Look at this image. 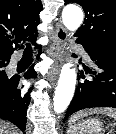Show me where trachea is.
<instances>
[{
    "label": "trachea",
    "mask_w": 116,
    "mask_h": 134,
    "mask_svg": "<svg viewBox=\"0 0 116 134\" xmlns=\"http://www.w3.org/2000/svg\"><path fill=\"white\" fill-rule=\"evenodd\" d=\"M32 47H31V44L30 43H27L26 44V48L24 50V54L25 55H32Z\"/></svg>",
    "instance_id": "3493384b"
}]
</instances>
